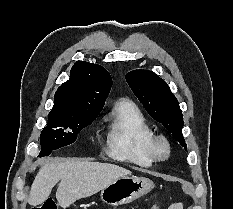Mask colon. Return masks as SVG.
I'll return each instance as SVG.
<instances>
[{
    "mask_svg": "<svg viewBox=\"0 0 233 209\" xmlns=\"http://www.w3.org/2000/svg\"><path fill=\"white\" fill-rule=\"evenodd\" d=\"M32 209H57V204L53 199H47L39 206H35ZM152 209H159V207L155 205Z\"/></svg>",
    "mask_w": 233,
    "mask_h": 209,
    "instance_id": "1",
    "label": "colon"
}]
</instances>
